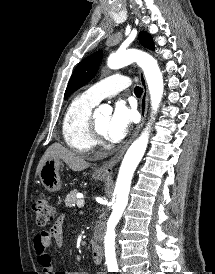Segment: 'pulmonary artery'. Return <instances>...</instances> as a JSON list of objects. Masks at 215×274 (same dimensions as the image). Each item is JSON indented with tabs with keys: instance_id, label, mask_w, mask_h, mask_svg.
<instances>
[{
	"instance_id": "pulmonary-artery-1",
	"label": "pulmonary artery",
	"mask_w": 215,
	"mask_h": 274,
	"mask_svg": "<svg viewBox=\"0 0 215 274\" xmlns=\"http://www.w3.org/2000/svg\"><path fill=\"white\" fill-rule=\"evenodd\" d=\"M130 85V79L124 75H112L88 88L84 95L95 103L113 96Z\"/></svg>"
}]
</instances>
